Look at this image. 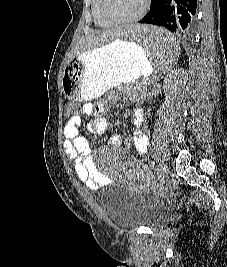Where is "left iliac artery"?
Here are the masks:
<instances>
[{"mask_svg":"<svg viewBox=\"0 0 227 267\" xmlns=\"http://www.w3.org/2000/svg\"><path fill=\"white\" fill-rule=\"evenodd\" d=\"M151 166L154 167V161L151 162Z\"/></svg>","mask_w":227,"mask_h":267,"instance_id":"1","label":"left iliac artery"}]
</instances>
